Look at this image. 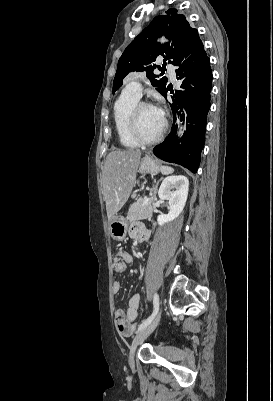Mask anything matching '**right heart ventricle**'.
Instances as JSON below:
<instances>
[{
	"mask_svg": "<svg viewBox=\"0 0 273 401\" xmlns=\"http://www.w3.org/2000/svg\"><path fill=\"white\" fill-rule=\"evenodd\" d=\"M139 102V99L132 94H121L113 104L114 127L122 146L126 148H138L140 143L129 136L127 130L128 118L132 108Z\"/></svg>",
	"mask_w": 273,
	"mask_h": 401,
	"instance_id": "e07e8e85",
	"label": "right heart ventricle"
}]
</instances>
